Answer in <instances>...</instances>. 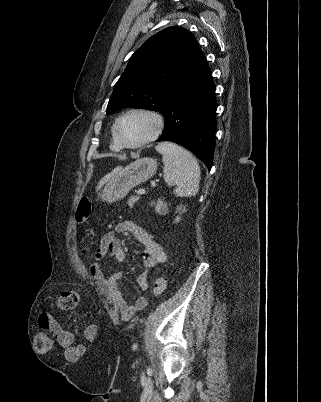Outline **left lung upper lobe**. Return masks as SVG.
Instances as JSON below:
<instances>
[{"instance_id":"1","label":"left lung upper lobe","mask_w":321,"mask_h":402,"mask_svg":"<svg viewBox=\"0 0 321 402\" xmlns=\"http://www.w3.org/2000/svg\"><path fill=\"white\" fill-rule=\"evenodd\" d=\"M202 57L188 30L173 26L158 32L131 56L115 84L106 112L124 107L161 112L169 93Z\"/></svg>"}]
</instances>
